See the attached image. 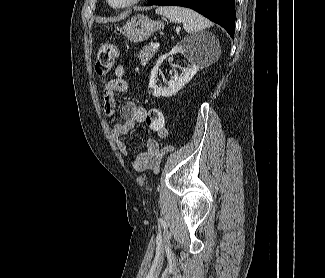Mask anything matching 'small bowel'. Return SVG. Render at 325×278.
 <instances>
[{"mask_svg": "<svg viewBox=\"0 0 325 278\" xmlns=\"http://www.w3.org/2000/svg\"><path fill=\"white\" fill-rule=\"evenodd\" d=\"M127 88L128 83L124 77V68L119 66L116 69V76L108 80L103 87V111L106 117L110 118L115 114L116 95L124 93ZM146 114V108L138 106L133 101L123 103L120 110L121 120L112 128L113 136L120 140L119 148L123 153L127 152V144L121 141V138L126 136L136 123H144ZM171 151L172 147L170 145L166 144L160 147L156 140L149 139L147 141V150L136 156L133 166L139 172L157 171Z\"/></svg>", "mask_w": 325, "mask_h": 278, "instance_id": "c3829d8e", "label": "small bowel"}]
</instances>
